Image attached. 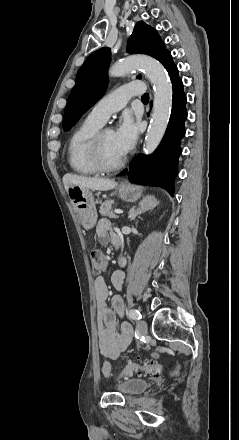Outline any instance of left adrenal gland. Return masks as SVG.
<instances>
[{
    "label": "left adrenal gland",
    "instance_id": "1",
    "mask_svg": "<svg viewBox=\"0 0 239 440\" xmlns=\"http://www.w3.org/2000/svg\"><path fill=\"white\" fill-rule=\"evenodd\" d=\"M150 208H155V206H148L145 202H141L138 210H135V206L134 208H131L128 218H130V220H135L136 216H140V214H143L146 210H150Z\"/></svg>",
    "mask_w": 239,
    "mask_h": 440
}]
</instances>
